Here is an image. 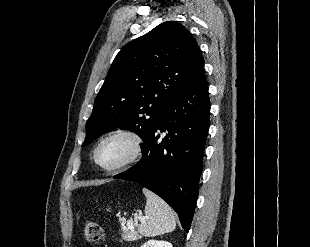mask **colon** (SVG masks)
<instances>
[{
    "instance_id": "colon-1",
    "label": "colon",
    "mask_w": 310,
    "mask_h": 247,
    "mask_svg": "<svg viewBox=\"0 0 310 247\" xmlns=\"http://www.w3.org/2000/svg\"><path fill=\"white\" fill-rule=\"evenodd\" d=\"M102 227L95 221H87L84 229V237L88 242H98L103 239Z\"/></svg>"
}]
</instances>
